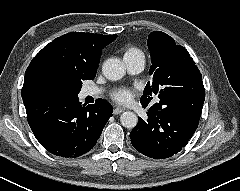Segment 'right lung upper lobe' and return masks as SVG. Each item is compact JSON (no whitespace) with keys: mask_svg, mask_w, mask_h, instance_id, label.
Returning a JSON list of instances; mask_svg holds the SVG:
<instances>
[{"mask_svg":"<svg viewBox=\"0 0 240 191\" xmlns=\"http://www.w3.org/2000/svg\"><path fill=\"white\" fill-rule=\"evenodd\" d=\"M117 35L70 32L47 44L31 61L22 88V98L42 95L51 78L93 79L101 50Z\"/></svg>","mask_w":240,"mask_h":191,"instance_id":"1","label":"right lung upper lobe"}]
</instances>
